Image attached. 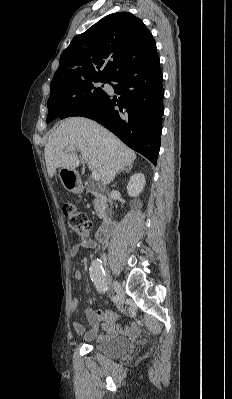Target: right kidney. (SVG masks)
Here are the masks:
<instances>
[{
  "instance_id": "obj_1",
  "label": "right kidney",
  "mask_w": 232,
  "mask_h": 399,
  "mask_svg": "<svg viewBox=\"0 0 232 399\" xmlns=\"http://www.w3.org/2000/svg\"><path fill=\"white\" fill-rule=\"evenodd\" d=\"M145 176L143 174H134V176H131L129 180V184L127 186V192L131 198H137L139 194H141L144 186H145ZM137 205L141 207L142 203L141 201H136Z\"/></svg>"
}]
</instances>
